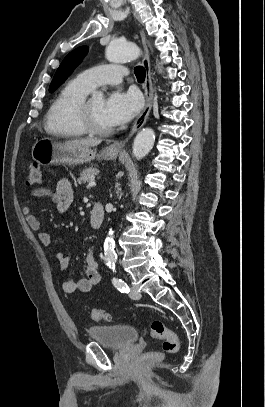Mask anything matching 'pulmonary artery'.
Here are the masks:
<instances>
[{"label":"pulmonary artery","mask_w":265,"mask_h":407,"mask_svg":"<svg viewBox=\"0 0 265 407\" xmlns=\"http://www.w3.org/2000/svg\"><path fill=\"white\" fill-rule=\"evenodd\" d=\"M126 75L127 70L123 66L100 65L81 72L77 79L92 90L103 84H119Z\"/></svg>","instance_id":"obj_1"}]
</instances>
